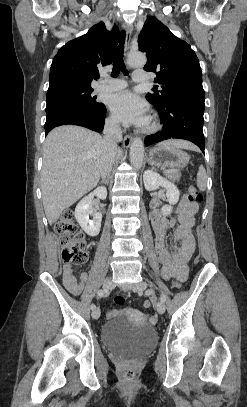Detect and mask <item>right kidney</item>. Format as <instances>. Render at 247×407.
<instances>
[{
	"instance_id": "1",
	"label": "right kidney",
	"mask_w": 247,
	"mask_h": 407,
	"mask_svg": "<svg viewBox=\"0 0 247 407\" xmlns=\"http://www.w3.org/2000/svg\"><path fill=\"white\" fill-rule=\"evenodd\" d=\"M96 196L99 199L105 200L107 197V190L105 187H98L89 195L84 197L75 208V218L81 228L91 237L97 236L100 232L102 214L96 212L92 208L93 198ZM89 215L93 219H89Z\"/></svg>"
}]
</instances>
